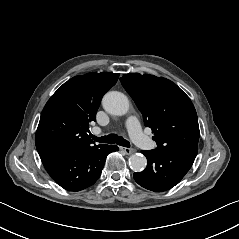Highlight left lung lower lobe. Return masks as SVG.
Wrapping results in <instances>:
<instances>
[{"label":"left lung lower lobe","mask_w":239,"mask_h":239,"mask_svg":"<svg viewBox=\"0 0 239 239\" xmlns=\"http://www.w3.org/2000/svg\"><path fill=\"white\" fill-rule=\"evenodd\" d=\"M198 150L175 148L142 151L148 163L143 172L134 173L135 181L142 187L162 192L178 184L191 168Z\"/></svg>","instance_id":"obj_1"}]
</instances>
